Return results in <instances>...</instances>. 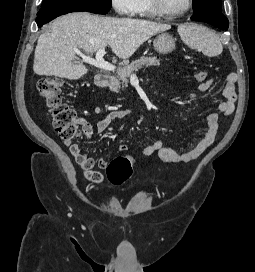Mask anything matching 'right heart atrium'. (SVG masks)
Here are the masks:
<instances>
[{
    "instance_id": "right-heart-atrium-1",
    "label": "right heart atrium",
    "mask_w": 255,
    "mask_h": 272,
    "mask_svg": "<svg viewBox=\"0 0 255 272\" xmlns=\"http://www.w3.org/2000/svg\"><path fill=\"white\" fill-rule=\"evenodd\" d=\"M138 0H111V6L119 15H134Z\"/></svg>"
}]
</instances>
